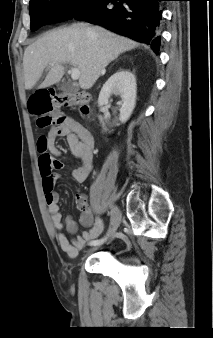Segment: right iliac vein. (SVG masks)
Returning <instances> with one entry per match:
<instances>
[{
    "label": "right iliac vein",
    "mask_w": 213,
    "mask_h": 338,
    "mask_svg": "<svg viewBox=\"0 0 213 338\" xmlns=\"http://www.w3.org/2000/svg\"><path fill=\"white\" fill-rule=\"evenodd\" d=\"M121 221V212L118 207L113 206L111 208V217H110V227L108 230V235H112L118 228Z\"/></svg>",
    "instance_id": "obj_1"
}]
</instances>
